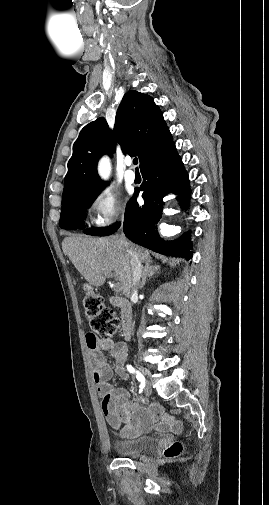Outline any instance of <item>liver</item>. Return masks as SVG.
I'll use <instances>...</instances> for the list:
<instances>
[{
  "label": "liver",
  "mask_w": 269,
  "mask_h": 505,
  "mask_svg": "<svg viewBox=\"0 0 269 505\" xmlns=\"http://www.w3.org/2000/svg\"><path fill=\"white\" fill-rule=\"evenodd\" d=\"M127 245L135 250L141 262L150 259V251L112 235L105 238H89L74 235L64 238L62 250L93 286H102L107 276H114L121 284L125 296H130L132 267Z\"/></svg>",
  "instance_id": "1"
}]
</instances>
